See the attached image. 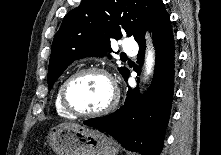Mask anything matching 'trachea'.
Here are the masks:
<instances>
[{
    "label": "trachea",
    "instance_id": "trachea-1",
    "mask_svg": "<svg viewBox=\"0 0 221 155\" xmlns=\"http://www.w3.org/2000/svg\"><path fill=\"white\" fill-rule=\"evenodd\" d=\"M123 57L126 58L127 56H126V55H123Z\"/></svg>",
    "mask_w": 221,
    "mask_h": 155
}]
</instances>
